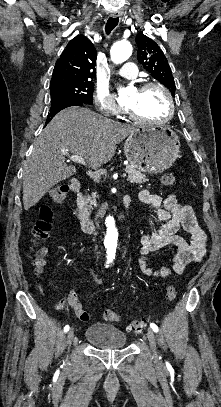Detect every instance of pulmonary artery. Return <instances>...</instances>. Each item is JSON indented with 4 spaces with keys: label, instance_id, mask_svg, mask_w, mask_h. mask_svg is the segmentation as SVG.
<instances>
[{
    "label": "pulmonary artery",
    "instance_id": "e3ab8cb5",
    "mask_svg": "<svg viewBox=\"0 0 221 407\" xmlns=\"http://www.w3.org/2000/svg\"><path fill=\"white\" fill-rule=\"evenodd\" d=\"M118 74L125 78H134L137 75L136 65L133 62L126 61L119 69Z\"/></svg>",
    "mask_w": 221,
    "mask_h": 407
}]
</instances>
